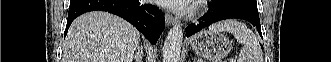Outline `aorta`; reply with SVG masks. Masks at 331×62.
I'll use <instances>...</instances> for the list:
<instances>
[{"instance_id": "obj_1", "label": "aorta", "mask_w": 331, "mask_h": 62, "mask_svg": "<svg viewBox=\"0 0 331 62\" xmlns=\"http://www.w3.org/2000/svg\"><path fill=\"white\" fill-rule=\"evenodd\" d=\"M182 40V27L176 25L169 31L164 42L163 62H179Z\"/></svg>"}]
</instances>
